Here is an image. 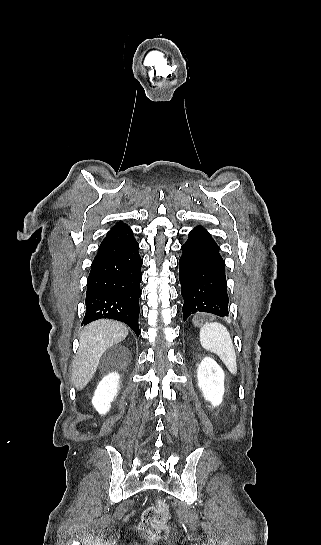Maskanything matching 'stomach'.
<instances>
[{"label":"stomach","instance_id":"obj_1","mask_svg":"<svg viewBox=\"0 0 321 545\" xmlns=\"http://www.w3.org/2000/svg\"><path fill=\"white\" fill-rule=\"evenodd\" d=\"M198 321H200V317H199V315H197V317H194V321H193V323H198Z\"/></svg>","mask_w":321,"mask_h":545}]
</instances>
